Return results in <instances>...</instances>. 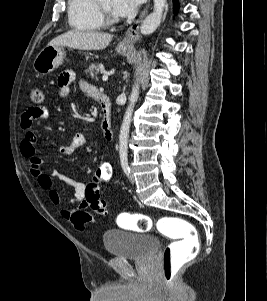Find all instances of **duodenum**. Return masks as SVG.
Here are the masks:
<instances>
[{
    "label": "duodenum",
    "mask_w": 267,
    "mask_h": 301,
    "mask_svg": "<svg viewBox=\"0 0 267 301\" xmlns=\"http://www.w3.org/2000/svg\"><path fill=\"white\" fill-rule=\"evenodd\" d=\"M96 101L99 103L102 111L101 127L105 133L108 141L113 139V130L111 123V102L107 95L102 93H97L95 96Z\"/></svg>",
    "instance_id": "duodenum-1"
}]
</instances>
